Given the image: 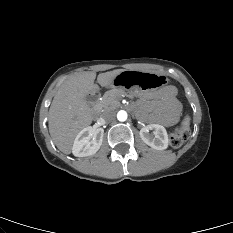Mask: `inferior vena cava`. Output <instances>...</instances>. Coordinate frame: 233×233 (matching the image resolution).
Listing matches in <instances>:
<instances>
[{
  "instance_id": "inferior-vena-cava-1",
  "label": "inferior vena cava",
  "mask_w": 233,
  "mask_h": 233,
  "mask_svg": "<svg viewBox=\"0 0 233 233\" xmlns=\"http://www.w3.org/2000/svg\"><path fill=\"white\" fill-rule=\"evenodd\" d=\"M102 118L107 122H111L115 119V113L113 111L107 110L102 114Z\"/></svg>"
}]
</instances>
